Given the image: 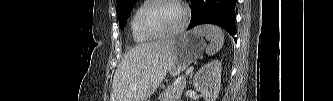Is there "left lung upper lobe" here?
<instances>
[{
    "mask_svg": "<svg viewBox=\"0 0 333 101\" xmlns=\"http://www.w3.org/2000/svg\"><path fill=\"white\" fill-rule=\"evenodd\" d=\"M116 2L120 28L123 29L137 0H116Z\"/></svg>",
    "mask_w": 333,
    "mask_h": 101,
    "instance_id": "1",
    "label": "left lung upper lobe"
}]
</instances>
